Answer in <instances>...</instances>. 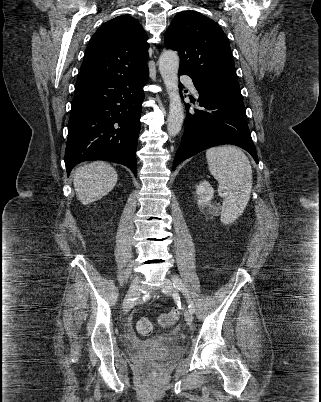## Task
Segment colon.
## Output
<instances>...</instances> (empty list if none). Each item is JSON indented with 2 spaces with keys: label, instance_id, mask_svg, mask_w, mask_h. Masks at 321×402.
<instances>
[{
  "label": "colon",
  "instance_id": "1",
  "mask_svg": "<svg viewBox=\"0 0 321 402\" xmlns=\"http://www.w3.org/2000/svg\"><path fill=\"white\" fill-rule=\"evenodd\" d=\"M179 317H180V311L177 309H174V310L170 311L169 313L163 314L160 317V323L163 326L169 327V326L174 325L176 323V321L179 319ZM136 328H137L138 332L141 334H149L153 331L154 326L150 319L140 318L137 320Z\"/></svg>",
  "mask_w": 321,
  "mask_h": 402
}]
</instances>
